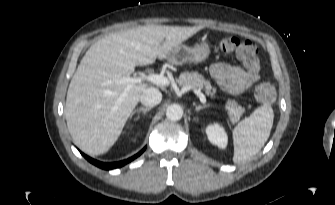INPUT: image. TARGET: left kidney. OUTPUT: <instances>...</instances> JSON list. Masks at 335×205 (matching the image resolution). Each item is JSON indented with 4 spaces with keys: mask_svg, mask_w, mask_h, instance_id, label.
Segmentation results:
<instances>
[{
    "mask_svg": "<svg viewBox=\"0 0 335 205\" xmlns=\"http://www.w3.org/2000/svg\"><path fill=\"white\" fill-rule=\"evenodd\" d=\"M206 134L208 140L217 145L219 148H226L228 143V136L223 126L218 123L208 125L206 127Z\"/></svg>",
    "mask_w": 335,
    "mask_h": 205,
    "instance_id": "5707ae66",
    "label": "left kidney"
}]
</instances>
